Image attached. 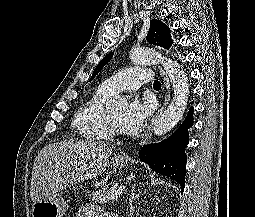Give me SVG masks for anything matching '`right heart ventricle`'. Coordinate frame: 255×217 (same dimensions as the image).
Listing matches in <instances>:
<instances>
[{
  "label": "right heart ventricle",
  "mask_w": 255,
  "mask_h": 217,
  "mask_svg": "<svg viewBox=\"0 0 255 217\" xmlns=\"http://www.w3.org/2000/svg\"><path fill=\"white\" fill-rule=\"evenodd\" d=\"M111 95L102 85L77 110L73 127L88 140L104 141L110 138L105 101Z\"/></svg>",
  "instance_id": "1"
}]
</instances>
